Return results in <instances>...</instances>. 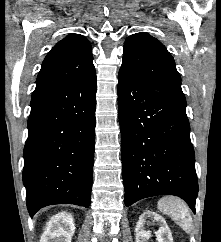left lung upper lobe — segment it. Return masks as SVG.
<instances>
[{"mask_svg": "<svg viewBox=\"0 0 221 242\" xmlns=\"http://www.w3.org/2000/svg\"><path fill=\"white\" fill-rule=\"evenodd\" d=\"M121 68L156 91L185 99L172 55L148 33H136L126 39Z\"/></svg>", "mask_w": 221, "mask_h": 242, "instance_id": "left-lung-upper-lobe-1", "label": "left lung upper lobe"}]
</instances>
